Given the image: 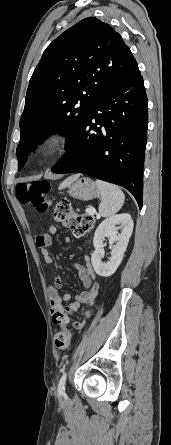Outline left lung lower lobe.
I'll return each mask as SVG.
<instances>
[{
  "label": "left lung lower lobe",
  "instance_id": "0a47b994",
  "mask_svg": "<svg viewBox=\"0 0 171 445\" xmlns=\"http://www.w3.org/2000/svg\"><path fill=\"white\" fill-rule=\"evenodd\" d=\"M147 126V96L136 65L116 76L95 100L52 171L83 173L120 185L141 208Z\"/></svg>",
  "mask_w": 171,
  "mask_h": 445
}]
</instances>
